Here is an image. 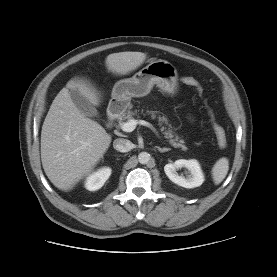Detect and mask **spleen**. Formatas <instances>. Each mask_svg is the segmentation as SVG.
<instances>
[{
  "instance_id": "obj_1",
  "label": "spleen",
  "mask_w": 277,
  "mask_h": 277,
  "mask_svg": "<svg viewBox=\"0 0 277 277\" xmlns=\"http://www.w3.org/2000/svg\"><path fill=\"white\" fill-rule=\"evenodd\" d=\"M229 170V161L222 157L216 161L212 168V178L216 185L220 184L226 177Z\"/></svg>"
}]
</instances>
